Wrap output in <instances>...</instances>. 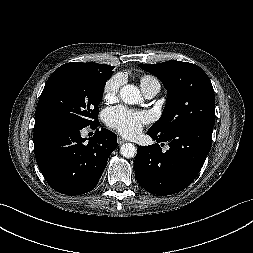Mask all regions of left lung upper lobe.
<instances>
[{"instance_id": "5c2ea615", "label": "left lung upper lobe", "mask_w": 253, "mask_h": 253, "mask_svg": "<svg viewBox=\"0 0 253 253\" xmlns=\"http://www.w3.org/2000/svg\"><path fill=\"white\" fill-rule=\"evenodd\" d=\"M138 66L157 76L168 92L162 116L150 131L168 136L180 128L214 126L215 95L209 77L199 66L173 60Z\"/></svg>"}]
</instances>
